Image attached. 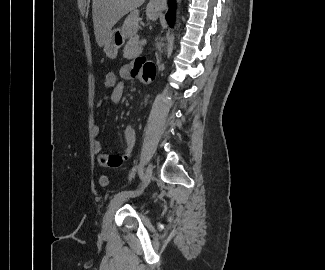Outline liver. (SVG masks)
I'll list each match as a JSON object with an SVG mask.
<instances>
[{"label":"liver","mask_w":325,"mask_h":270,"mask_svg":"<svg viewBox=\"0 0 325 270\" xmlns=\"http://www.w3.org/2000/svg\"><path fill=\"white\" fill-rule=\"evenodd\" d=\"M145 0H93L92 17L94 33L99 47L104 46L112 27L130 12L122 26L125 37L135 35L139 28V11L137 7Z\"/></svg>","instance_id":"6515ba94"}]
</instances>
